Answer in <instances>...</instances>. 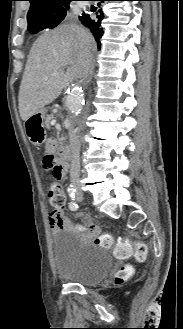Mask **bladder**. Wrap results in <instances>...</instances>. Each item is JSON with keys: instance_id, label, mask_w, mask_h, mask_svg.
<instances>
[{"instance_id": "obj_1", "label": "bladder", "mask_w": 183, "mask_h": 329, "mask_svg": "<svg viewBox=\"0 0 183 329\" xmlns=\"http://www.w3.org/2000/svg\"><path fill=\"white\" fill-rule=\"evenodd\" d=\"M59 278L84 286L100 284L110 273L113 261L102 247L82 242L69 231H58L51 241Z\"/></svg>"}]
</instances>
